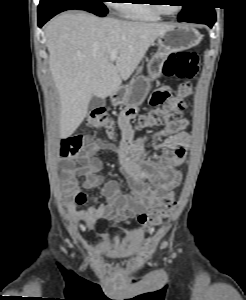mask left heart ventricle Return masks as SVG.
I'll return each mask as SVG.
<instances>
[{
	"mask_svg": "<svg viewBox=\"0 0 246 300\" xmlns=\"http://www.w3.org/2000/svg\"><path fill=\"white\" fill-rule=\"evenodd\" d=\"M167 2H174V1H167ZM178 7L179 6L175 4L163 6L164 10H166L168 13H174L178 9Z\"/></svg>",
	"mask_w": 246,
	"mask_h": 300,
	"instance_id": "b2bd125f",
	"label": "left heart ventricle"
}]
</instances>
